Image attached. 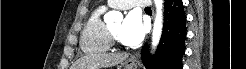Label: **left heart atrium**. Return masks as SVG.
<instances>
[{"mask_svg": "<svg viewBox=\"0 0 246 69\" xmlns=\"http://www.w3.org/2000/svg\"><path fill=\"white\" fill-rule=\"evenodd\" d=\"M144 25L137 11H130L121 27V41L128 46L139 44L144 36Z\"/></svg>", "mask_w": 246, "mask_h": 69, "instance_id": "1", "label": "left heart atrium"}]
</instances>
